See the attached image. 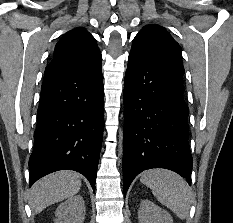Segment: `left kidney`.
Masks as SVG:
<instances>
[{"label":"left kidney","mask_w":233,"mask_h":223,"mask_svg":"<svg viewBox=\"0 0 233 223\" xmlns=\"http://www.w3.org/2000/svg\"><path fill=\"white\" fill-rule=\"evenodd\" d=\"M138 217L139 223H173L170 213L150 199H141Z\"/></svg>","instance_id":"1"}]
</instances>
